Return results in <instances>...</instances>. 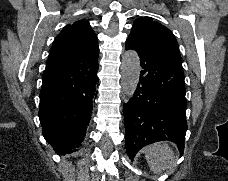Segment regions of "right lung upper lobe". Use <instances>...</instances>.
<instances>
[{
  "label": "right lung upper lobe",
  "mask_w": 228,
  "mask_h": 181,
  "mask_svg": "<svg viewBox=\"0 0 228 181\" xmlns=\"http://www.w3.org/2000/svg\"><path fill=\"white\" fill-rule=\"evenodd\" d=\"M98 49L97 36L89 22L80 20L67 25L56 37L47 64H53Z\"/></svg>",
  "instance_id": "right-lung-upper-lobe-1"
}]
</instances>
